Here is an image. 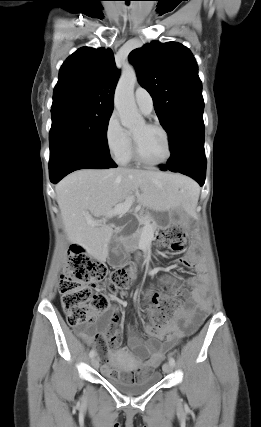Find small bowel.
<instances>
[{"label":"small bowel","instance_id":"1","mask_svg":"<svg viewBox=\"0 0 261 427\" xmlns=\"http://www.w3.org/2000/svg\"><path fill=\"white\" fill-rule=\"evenodd\" d=\"M178 264L196 270V275L188 278L185 283L191 288L190 297L191 304L185 306L175 317L173 322L165 327L158 335H153L150 339H143L132 327L128 328V345L135 351L137 358L128 355L124 363L135 368V373L139 376L147 375L156 369L162 360L165 353L174 347L180 339L191 335L203 321L208 309V301L206 299L207 285L206 277L197 264L195 258L191 254H187L177 261ZM119 305H124L125 302L117 300ZM120 311L119 307H114L102 316L95 327H82L77 329V333L88 344H97L99 353L102 356L106 355L108 345L117 343V334L111 335L109 331L110 321H114ZM178 320L183 321L180 326ZM147 359L139 364L138 359ZM107 365L104 366L105 371Z\"/></svg>","mask_w":261,"mask_h":427}]
</instances>
